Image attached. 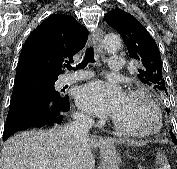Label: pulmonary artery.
<instances>
[{
	"label": "pulmonary artery",
	"instance_id": "e3ab8cb5",
	"mask_svg": "<svg viewBox=\"0 0 177 169\" xmlns=\"http://www.w3.org/2000/svg\"><path fill=\"white\" fill-rule=\"evenodd\" d=\"M108 69L113 72H120L123 69V61L120 57L111 56L108 58ZM92 77L89 72L80 71L75 74L62 77L61 84H70Z\"/></svg>",
	"mask_w": 177,
	"mask_h": 169
}]
</instances>
